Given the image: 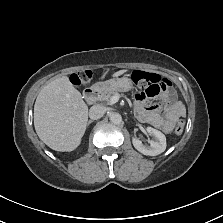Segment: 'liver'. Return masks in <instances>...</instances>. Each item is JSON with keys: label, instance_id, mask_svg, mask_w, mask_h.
<instances>
[{"label": "liver", "instance_id": "1", "mask_svg": "<svg viewBox=\"0 0 223 223\" xmlns=\"http://www.w3.org/2000/svg\"><path fill=\"white\" fill-rule=\"evenodd\" d=\"M127 70L113 74L118 77ZM88 106L81 93L63 76L44 86L34 105V126L37 135L56 151H73L85 133Z\"/></svg>", "mask_w": 223, "mask_h": 223}]
</instances>
